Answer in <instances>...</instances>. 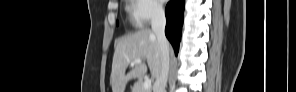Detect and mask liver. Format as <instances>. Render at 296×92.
Listing matches in <instances>:
<instances>
[{
  "instance_id": "1",
  "label": "liver",
  "mask_w": 296,
  "mask_h": 92,
  "mask_svg": "<svg viewBox=\"0 0 296 92\" xmlns=\"http://www.w3.org/2000/svg\"><path fill=\"white\" fill-rule=\"evenodd\" d=\"M135 59H146L151 75L157 78L161 71V53L156 35L150 29H141L122 37L116 47L112 62V92H124L127 83L147 73L143 62L135 64L126 74L128 65Z\"/></svg>"
}]
</instances>
